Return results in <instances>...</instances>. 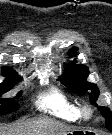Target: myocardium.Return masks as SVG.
<instances>
[{"label":"myocardium","instance_id":"myocardium-1","mask_svg":"<svg viewBox=\"0 0 112 135\" xmlns=\"http://www.w3.org/2000/svg\"><path fill=\"white\" fill-rule=\"evenodd\" d=\"M81 117L84 120H90L95 114L93 106L89 103H85L80 107Z\"/></svg>","mask_w":112,"mask_h":135}]
</instances>
